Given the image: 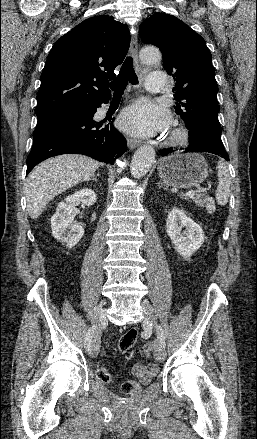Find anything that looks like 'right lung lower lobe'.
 <instances>
[{"mask_svg":"<svg viewBox=\"0 0 257 439\" xmlns=\"http://www.w3.org/2000/svg\"><path fill=\"white\" fill-rule=\"evenodd\" d=\"M109 100V99H108ZM67 108L38 117L33 146L27 157L28 174L43 160L60 154H83L114 164L126 150V139L113 126L114 118L96 121L102 103Z\"/></svg>","mask_w":257,"mask_h":439,"instance_id":"98d812e1","label":"right lung lower lobe"}]
</instances>
